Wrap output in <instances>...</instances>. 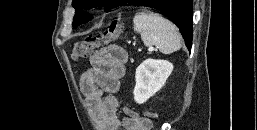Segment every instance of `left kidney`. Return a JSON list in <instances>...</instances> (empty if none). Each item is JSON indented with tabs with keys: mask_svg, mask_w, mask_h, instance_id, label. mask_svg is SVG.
Here are the masks:
<instances>
[{
	"mask_svg": "<svg viewBox=\"0 0 257 130\" xmlns=\"http://www.w3.org/2000/svg\"><path fill=\"white\" fill-rule=\"evenodd\" d=\"M173 71V64L167 60L147 59L136 69L134 100L143 104L165 84Z\"/></svg>",
	"mask_w": 257,
	"mask_h": 130,
	"instance_id": "5707ae66",
	"label": "left kidney"
}]
</instances>
